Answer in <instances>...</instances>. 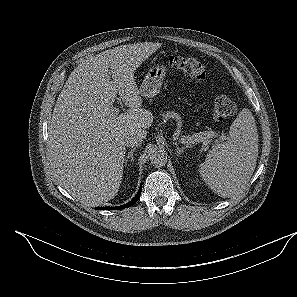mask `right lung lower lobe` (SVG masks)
<instances>
[{"mask_svg": "<svg viewBox=\"0 0 297 297\" xmlns=\"http://www.w3.org/2000/svg\"><path fill=\"white\" fill-rule=\"evenodd\" d=\"M141 191H142V186L140 187L137 195L130 202H128L127 204H124V205L118 206V207H100L98 209H101V210H117V209H124V208L131 207L132 205H134L138 201V199L140 197V194H141Z\"/></svg>", "mask_w": 297, "mask_h": 297, "instance_id": "1", "label": "right lung lower lobe"}]
</instances>
